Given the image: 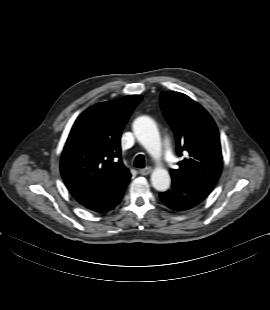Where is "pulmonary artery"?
<instances>
[{
    "label": "pulmonary artery",
    "instance_id": "e3ab8cb5",
    "mask_svg": "<svg viewBox=\"0 0 270 310\" xmlns=\"http://www.w3.org/2000/svg\"><path fill=\"white\" fill-rule=\"evenodd\" d=\"M166 157H167V161H168L170 164H172V163L174 162L173 155H172V153H171L169 150L166 151Z\"/></svg>",
    "mask_w": 270,
    "mask_h": 310
}]
</instances>
